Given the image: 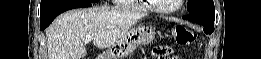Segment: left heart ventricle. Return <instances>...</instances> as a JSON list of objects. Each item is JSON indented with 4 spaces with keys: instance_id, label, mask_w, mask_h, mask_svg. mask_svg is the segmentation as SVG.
Returning <instances> with one entry per match:
<instances>
[{
    "instance_id": "left-heart-ventricle-1",
    "label": "left heart ventricle",
    "mask_w": 261,
    "mask_h": 59,
    "mask_svg": "<svg viewBox=\"0 0 261 59\" xmlns=\"http://www.w3.org/2000/svg\"><path fill=\"white\" fill-rule=\"evenodd\" d=\"M155 3L160 8L172 9L178 5L179 0H159L155 1Z\"/></svg>"
}]
</instances>
